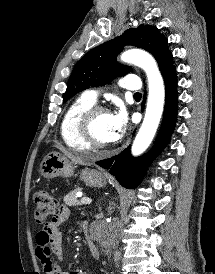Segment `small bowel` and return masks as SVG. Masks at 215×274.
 <instances>
[{
  "label": "small bowel",
  "instance_id": "small-bowel-1",
  "mask_svg": "<svg viewBox=\"0 0 215 274\" xmlns=\"http://www.w3.org/2000/svg\"><path fill=\"white\" fill-rule=\"evenodd\" d=\"M69 216V209L61 206L53 219L36 235L35 253L45 274H73L61 270L58 265V261L62 259L63 255V237L60 226Z\"/></svg>",
  "mask_w": 215,
  "mask_h": 274
}]
</instances>
